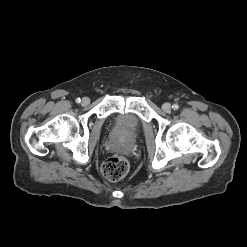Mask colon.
<instances>
[{
  "label": "colon",
  "mask_w": 247,
  "mask_h": 247,
  "mask_svg": "<svg viewBox=\"0 0 247 247\" xmlns=\"http://www.w3.org/2000/svg\"><path fill=\"white\" fill-rule=\"evenodd\" d=\"M129 170V163L122 156H113L105 160L101 165L102 175L111 181H118L125 177Z\"/></svg>",
  "instance_id": "obj_1"
}]
</instances>
